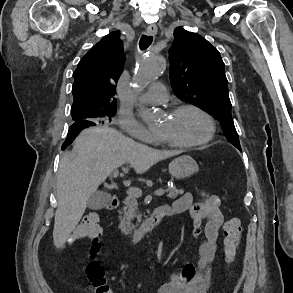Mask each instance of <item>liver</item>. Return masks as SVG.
Instances as JSON below:
<instances>
[{
	"instance_id": "6515ba94",
	"label": "liver",
	"mask_w": 293,
	"mask_h": 293,
	"mask_svg": "<svg viewBox=\"0 0 293 293\" xmlns=\"http://www.w3.org/2000/svg\"><path fill=\"white\" fill-rule=\"evenodd\" d=\"M178 151H159L139 144L107 126L90 127L75 139L59 165L53 241L61 247L83 216L89 197L118 167L129 163L142 174Z\"/></svg>"
}]
</instances>
